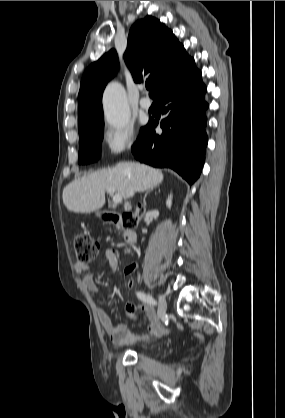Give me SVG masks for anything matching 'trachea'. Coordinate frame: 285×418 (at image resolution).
<instances>
[{"mask_svg": "<svg viewBox=\"0 0 285 418\" xmlns=\"http://www.w3.org/2000/svg\"><path fill=\"white\" fill-rule=\"evenodd\" d=\"M151 87H152V84H146L147 89H151Z\"/></svg>", "mask_w": 285, "mask_h": 418, "instance_id": "obj_1", "label": "trachea"}]
</instances>
